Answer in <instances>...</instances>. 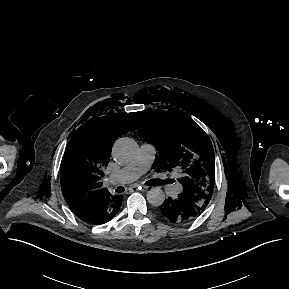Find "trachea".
<instances>
[{
	"mask_svg": "<svg viewBox=\"0 0 289 289\" xmlns=\"http://www.w3.org/2000/svg\"><path fill=\"white\" fill-rule=\"evenodd\" d=\"M155 183H156V185H161V184H162V181L157 180ZM123 191H124V188H123V187H118V188H117V192L121 193V192H123Z\"/></svg>",
	"mask_w": 289,
	"mask_h": 289,
	"instance_id": "obj_1",
	"label": "trachea"
}]
</instances>
